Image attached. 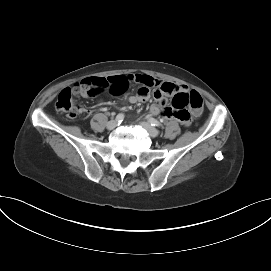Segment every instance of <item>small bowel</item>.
I'll return each mask as SVG.
<instances>
[{
  "label": "small bowel",
  "mask_w": 271,
  "mask_h": 271,
  "mask_svg": "<svg viewBox=\"0 0 271 271\" xmlns=\"http://www.w3.org/2000/svg\"><path fill=\"white\" fill-rule=\"evenodd\" d=\"M82 84L84 87L80 92L81 96L88 97L91 95L93 97H99L104 93L110 99H120L123 95L129 93L135 84H140L141 87L138 89L136 94L125 98L126 102L130 104L146 102L151 97V89H154L153 96L155 102L150 107V112L152 114H162L166 118L178 120L183 125H188L191 121L190 113L186 109L179 110L173 105H167L168 96L188 93V88L186 86L157 80L150 75L139 73L111 75L106 78H89L85 79ZM89 85H91L90 88ZM183 113L187 114L189 118H182Z\"/></svg>",
  "instance_id": "1"
}]
</instances>
